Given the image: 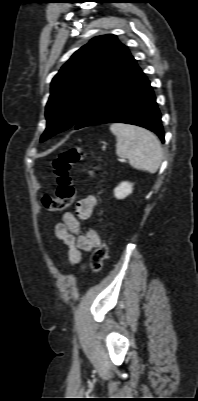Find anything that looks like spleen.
Wrapping results in <instances>:
<instances>
[{"label":"spleen","instance_id":"spleen-1","mask_svg":"<svg viewBox=\"0 0 198 401\" xmlns=\"http://www.w3.org/2000/svg\"><path fill=\"white\" fill-rule=\"evenodd\" d=\"M110 131L116 136V154L127 158L138 170L154 174L159 169L163 150L158 138L141 127L115 123Z\"/></svg>","mask_w":198,"mask_h":401}]
</instances>
